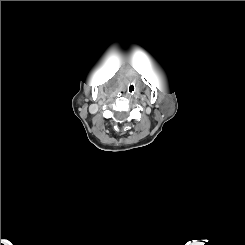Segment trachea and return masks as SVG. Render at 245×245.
<instances>
[{
  "mask_svg": "<svg viewBox=\"0 0 245 245\" xmlns=\"http://www.w3.org/2000/svg\"><path fill=\"white\" fill-rule=\"evenodd\" d=\"M127 91L131 95L134 94L135 91H136V84L134 82L128 83V85H127Z\"/></svg>",
  "mask_w": 245,
  "mask_h": 245,
  "instance_id": "1",
  "label": "trachea"
}]
</instances>
